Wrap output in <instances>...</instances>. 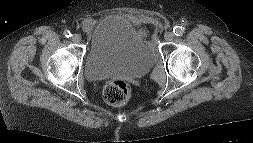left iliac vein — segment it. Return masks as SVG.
I'll return each instance as SVG.
<instances>
[{
  "instance_id": "obj_1",
  "label": "left iliac vein",
  "mask_w": 253,
  "mask_h": 143,
  "mask_svg": "<svg viewBox=\"0 0 253 143\" xmlns=\"http://www.w3.org/2000/svg\"><path fill=\"white\" fill-rule=\"evenodd\" d=\"M174 38V34L172 32H166L165 35H164V39L167 41V42H170L172 41Z\"/></svg>"
}]
</instances>
